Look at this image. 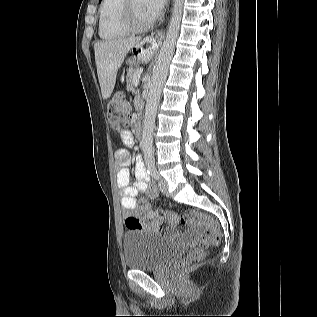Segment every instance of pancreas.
I'll list each match as a JSON object with an SVG mask.
<instances>
[{"mask_svg": "<svg viewBox=\"0 0 317 317\" xmlns=\"http://www.w3.org/2000/svg\"><path fill=\"white\" fill-rule=\"evenodd\" d=\"M136 69L134 68L133 72H130L129 75L126 76L127 88L126 91L128 93H133L135 91L136 84L134 83V78L136 74Z\"/></svg>", "mask_w": 317, "mask_h": 317, "instance_id": "1", "label": "pancreas"}]
</instances>
